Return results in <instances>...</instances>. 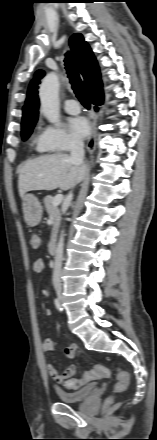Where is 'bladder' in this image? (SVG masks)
I'll list each match as a JSON object with an SVG mask.
<instances>
[{
  "label": "bladder",
  "instance_id": "31cf9c89",
  "mask_svg": "<svg viewBox=\"0 0 157 440\" xmlns=\"http://www.w3.org/2000/svg\"><path fill=\"white\" fill-rule=\"evenodd\" d=\"M96 385L90 383L76 391H65L62 389L56 390L58 399L63 403L74 404L80 403L88 398L95 390Z\"/></svg>",
  "mask_w": 157,
  "mask_h": 440
}]
</instances>
